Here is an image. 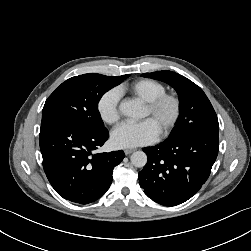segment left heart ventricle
Segmentation results:
<instances>
[{
  "label": "left heart ventricle",
  "mask_w": 251,
  "mask_h": 251,
  "mask_svg": "<svg viewBox=\"0 0 251 251\" xmlns=\"http://www.w3.org/2000/svg\"><path fill=\"white\" fill-rule=\"evenodd\" d=\"M171 113L170 105H164L157 114L151 115L147 108L144 109L143 117H149L155 123L158 131L161 130L162 126L164 125L165 121L168 119Z\"/></svg>",
  "instance_id": "left-heart-ventricle-1"
}]
</instances>
